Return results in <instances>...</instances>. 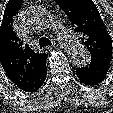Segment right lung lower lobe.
<instances>
[{
	"instance_id": "98d812e1",
	"label": "right lung lower lobe",
	"mask_w": 113,
	"mask_h": 113,
	"mask_svg": "<svg viewBox=\"0 0 113 113\" xmlns=\"http://www.w3.org/2000/svg\"><path fill=\"white\" fill-rule=\"evenodd\" d=\"M46 75H47V68L45 67L43 72L38 76L37 80L34 83H32L28 88H26L24 91L34 92L38 90L43 85Z\"/></svg>"
}]
</instances>
